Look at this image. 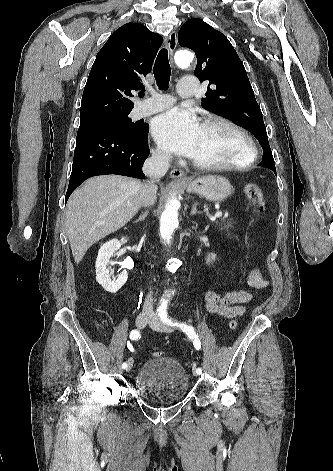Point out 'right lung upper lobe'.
<instances>
[{
  "instance_id": "right-lung-upper-lobe-1",
  "label": "right lung upper lobe",
  "mask_w": 333,
  "mask_h": 471,
  "mask_svg": "<svg viewBox=\"0 0 333 471\" xmlns=\"http://www.w3.org/2000/svg\"><path fill=\"white\" fill-rule=\"evenodd\" d=\"M162 37L142 24L118 28L98 52L82 96L80 117L93 118L133 109L132 91L144 89Z\"/></svg>"
}]
</instances>
